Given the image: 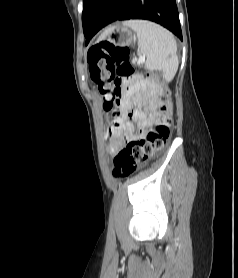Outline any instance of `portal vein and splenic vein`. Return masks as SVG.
I'll return each instance as SVG.
<instances>
[{
  "instance_id": "portal-vein-and-splenic-vein-1",
  "label": "portal vein and splenic vein",
  "mask_w": 238,
  "mask_h": 278,
  "mask_svg": "<svg viewBox=\"0 0 238 278\" xmlns=\"http://www.w3.org/2000/svg\"><path fill=\"white\" fill-rule=\"evenodd\" d=\"M144 61H145V57H142V56L139 57V62H140V63H143Z\"/></svg>"
}]
</instances>
